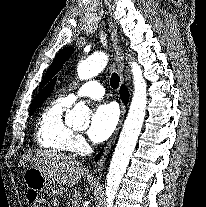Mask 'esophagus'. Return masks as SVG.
<instances>
[{
  "label": "esophagus",
  "instance_id": "34e87169",
  "mask_svg": "<svg viewBox=\"0 0 206 207\" xmlns=\"http://www.w3.org/2000/svg\"><path fill=\"white\" fill-rule=\"evenodd\" d=\"M109 26H110V31H111V38H112L113 45H114V48L116 51V56H117L116 63H117L118 71L120 74V80H121V83H123L124 82V66L125 65H124V58L122 55V50H121V45H120V38L118 35L117 27L115 26V24L111 20H109ZM125 111H126L125 106L123 103H121V115H120L118 125H117L113 135L111 136L110 140L105 145L99 163L93 167L94 173H98L101 171L103 163L107 159V157H108V155H109V153H110V151H111V149H112V147L118 137L121 125L123 123Z\"/></svg>",
  "mask_w": 206,
  "mask_h": 207
}]
</instances>
